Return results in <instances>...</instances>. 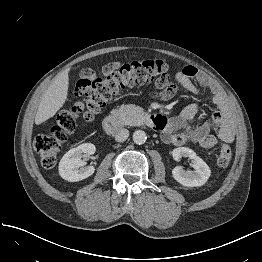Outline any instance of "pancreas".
<instances>
[{
    "mask_svg": "<svg viewBox=\"0 0 262 262\" xmlns=\"http://www.w3.org/2000/svg\"><path fill=\"white\" fill-rule=\"evenodd\" d=\"M111 115L119 119L124 125L139 126L142 124L144 111L141 107L128 104L112 110Z\"/></svg>",
    "mask_w": 262,
    "mask_h": 262,
    "instance_id": "cf45deb5",
    "label": "pancreas"
}]
</instances>
